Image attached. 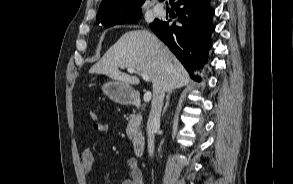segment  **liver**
I'll return each instance as SVG.
<instances>
[{"mask_svg":"<svg viewBox=\"0 0 293 184\" xmlns=\"http://www.w3.org/2000/svg\"><path fill=\"white\" fill-rule=\"evenodd\" d=\"M131 67L149 76L153 96L160 90L172 92L189 83L190 77L172 52L146 29L124 33L89 73L104 74L126 84H139L137 77L119 71Z\"/></svg>","mask_w":293,"mask_h":184,"instance_id":"liver-1","label":"liver"}]
</instances>
